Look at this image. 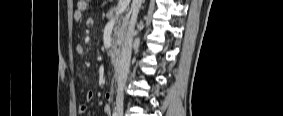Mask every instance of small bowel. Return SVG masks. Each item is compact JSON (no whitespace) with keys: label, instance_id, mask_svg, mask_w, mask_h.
Instances as JSON below:
<instances>
[{"label":"small bowel","instance_id":"1","mask_svg":"<svg viewBox=\"0 0 283 116\" xmlns=\"http://www.w3.org/2000/svg\"><path fill=\"white\" fill-rule=\"evenodd\" d=\"M79 6L78 8L74 11L73 13V19L76 22L82 21L83 20V16H84V12L85 9L87 7V1H79L78 2ZM76 52L79 55H83L84 54V48L82 45H77L76 46ZM95 98V93L94 92H87L86 94V101L87 102H91L93 101ZM110 102H111V96L107 95V102L103 105V115L105 116H111V107H110ZM87 110V107L85 105L80 107V114H84Z\"/></svg>","mask_w":283,"mask_h":116}]
</instances>
